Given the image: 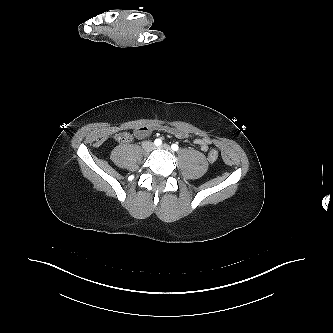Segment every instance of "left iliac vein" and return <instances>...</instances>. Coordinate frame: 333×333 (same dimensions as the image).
<instances>
[{
    "label": "left iliac vein",
    "mask_w": 333,
    "mask_h": 333,
    "mask_svg": "<svg viewBox=\"0 0 333 333\" xmlns=\"http://www.w3.org/2000/svg\"><path fill=\"white\" fill-rule=\"evenodd\" d=\"M158 148H160V149H163V150H166V151H171V148H170V146L169 145H167V144H163V145H161L160 147H158Z\"/></svg>",
    "instance_id": "4c4485c4"
}]
</instances>
